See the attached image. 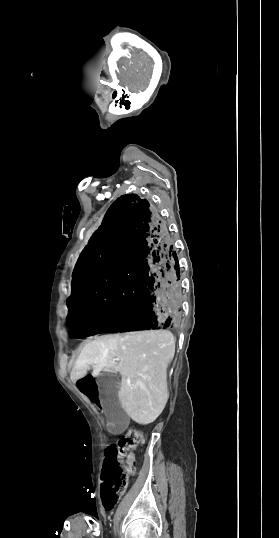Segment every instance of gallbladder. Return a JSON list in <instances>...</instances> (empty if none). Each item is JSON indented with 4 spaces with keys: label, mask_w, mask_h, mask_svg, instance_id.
Listing matches in <instances>:
<instances>
[{
    "label": "gallbladder",
    "mask_w": 279,
    "mask_h": 538,
    "mask_svg": "<svg viewBox=\"0 0 279 538\" xmlns=\"http://www.w3.org/2000/svg\"><path fill=\"white\" fill-rule=\"evenodd\" d=\"M100 392H102V406L105 409L106 418L112 422V431L121 433L129 420V413L125 412L122 404H114L118 402L120 390V376L118 374H108L103 372L96 380Z\"/></svg>",
    "instance_id": "1"
}]
</instances>
